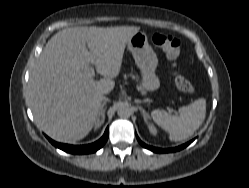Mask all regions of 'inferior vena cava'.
Returning <instances> with one entry per match:
<instances>
[{
  "label": "inferior vena cava",
  "mask_w": 249,
  "mask_h": 188,
  "mask_svg": "<svg viewBox=\"0 0 249 188\" xmlns=\"http://www.w3.org/2000/svg\"><path fill=\"white\" fill-rule=\"evenodd\" d=\"M102 101H105L106 99H108V98H106L105 96H102Z\"/></svg>",
  "instance_id": "inferior-vena-cava-1"
}]
</instances>
